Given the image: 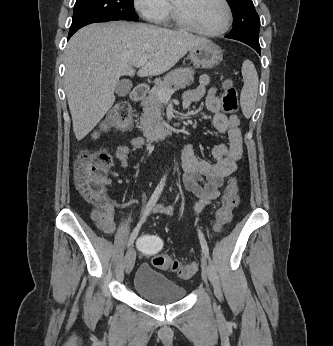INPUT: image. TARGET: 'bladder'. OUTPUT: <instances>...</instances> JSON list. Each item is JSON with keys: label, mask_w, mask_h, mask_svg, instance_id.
<instances>
[{"label": "bladder", "mask_w": 333, "mask_h": 346, "mask_svg": "<svg viewBox=\"0 0 333 346\" xmlns=\"http://www.w3.org/2000/svg\"><path fill=\"white\" fill-rule=\"evenodd\" d=\"M134 290L146 301L156 305H167L181 301L186 289L166 275L143 263L136 271Z\"/></svg>", "instance_id": "obj_1"}]
</instances>
